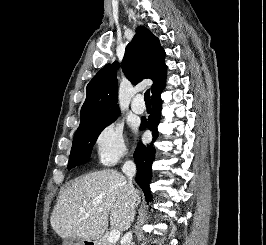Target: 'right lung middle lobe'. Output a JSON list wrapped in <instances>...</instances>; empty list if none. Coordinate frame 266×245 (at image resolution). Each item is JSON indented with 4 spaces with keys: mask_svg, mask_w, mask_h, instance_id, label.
<instances>
[{
    "mask_svg": "<svg viewBox=\"0 0 266 245\" xmlns=\"http://www.w3.org/2000/svg\"><path fill=\"white\" fill-rule=\"evenodd\" d=\"M118 115L119 112H116L80 123L74 135L68 170L89 160L99 134L106 126L114 122Z\"/></svg>",
    "mask_w": 266,
    "mask_h": 245,
    "instance_id": "obj_1",
    "label": "right lung middle lobe"
}]
</instances>
